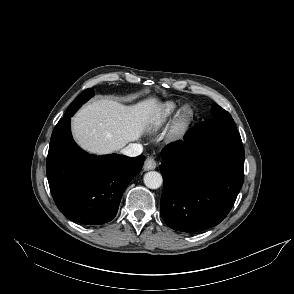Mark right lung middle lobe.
I'll return each mask as SVG.
<instances>
[{
	"instance_id": "obj_1",
	"label": "right lung middle lobe",
	"mask_w": 294,
	"mask_h": 294,
	"mask_svg": "<svg viewBox=\"0 0 294 294\" xmlns=\"http://www.w3.org/2000/svg\"><path fill=\"white\" fill-rule=\"evenodd\" d=\"M87 92L83 91L74 101L69 105L67 111L64 114V117L72 116L78 108L85 103L89 98L86 97Z\"/></svg>"
}]
</instances>
